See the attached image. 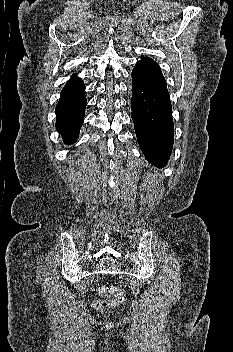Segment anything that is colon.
Wrapping results in <instances>:
<instances>
[{
    "instance_id": "colon-1",
    "label": "colon",
    "mask_w": 233,
    "mask_h": 352,
    "mask_svg": "<svg viewBox=\"0 0 233 352\" xmlns=\"http://www.w3.org/2000/svg\"><path fill=\"white\" fill-rule=\"evenodd\" d=\"M95 292L100 295H105L106 293L113 294V296L106 300H99L94 303V306L98 309H104L108 307H114L123 303L126 299V293L123 290H119L115 286H103L99 285L94 288Z\"/></svg>"
}]
</instances>
